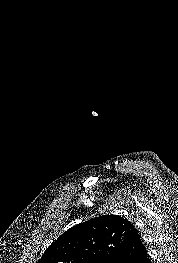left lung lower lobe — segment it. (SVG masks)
Listing matches in <instances>:
<instances>
[{
    "instance_id": "left-lung-lower-lobe-1",
    "label": "left lung lower lobe",
    "mask_w": 178,
    "mask_h": 263,
    "mask_svg": "<svg viewBox=\"0 0 178 263\" xmlns=\"http://www.w3.org/2000/svg\"><path fill=\"white\" fill-rule=\"evenodd\" d=\"M109 263H150L146 248L134 226L131 227L117 254Z\"/></svg>"
}]
</instances>
